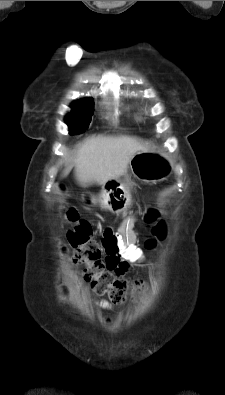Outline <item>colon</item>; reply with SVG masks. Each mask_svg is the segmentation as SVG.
Segmentation results:
<instances>
[{
	"label": "colon",
	"mask_w": 225,
	"mask_h": 395,
	"mask_svg": "<svg viewBox=\"0 0 225 395\" xmlns=\"http://www.w3.org/2000/svg\"><path fill=\"white\" fill-rule=\"evenodd\" d=\"M148 219L153 220L154 215L149 214ZM65 220L72 225V229L67 234V240L73 250L74 262L84 266V279L97 293L106 294L112 303H124L128 298L129 283L112 274L110 270L112 259L107 255L102 259V250L94 240L91 225L87 221L81 220L74 208L66 209ZM153 231L157 239H162L165 235L164 224L157 223ZM154 244L155 240L152 239L148 240L146 246L151 248ZM135 285L140 290L144 288L142 281H137Z\"/></svg>",
	"instance_id": "obj_1"
}]
</instances>
